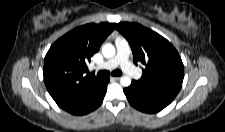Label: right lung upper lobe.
I'll return each instance as SVG.
<instances>
[{
  "mask_svg": "<svg viewBox=\"0 0 225 132\" xmlns=\"http://www.w3.org/2000/svg\"><path fill=\"white\" fill-rule=\"evenodd\" d=\"M115 23L86 24L59 38L44 60V82L61 108L86 103L98 91L102 78L85 74L87 63L115 29Z\"/></svg>",
  "mask_w": 225,
  "mask_h": 132,
  "instance_id": "right-lung-upper-lobe-1",
  "label": "right lung upper lobe"
}]
</instances>
